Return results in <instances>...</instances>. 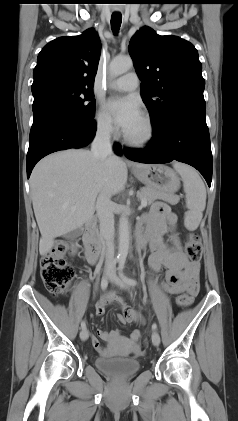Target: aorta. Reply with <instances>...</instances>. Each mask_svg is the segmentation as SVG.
<instances>
[{"label": "aorta", "instance_id": "1", "mask_svg": "<svg viewBox=\"0 0 238 421\" xmlns=\"http://www.w3.org/2000/svg\"><path fill=\"white\" fill-rule=\"evenodd\" d=\"M133 67L131 58H115L110 62L109 73L111 77H117L129 71ZM130 244V228L127 216H121L119 220V246L117 260L124 263Z\"/></svg>", "mask_w": 238, "mask_h": 421}]
</instances>
